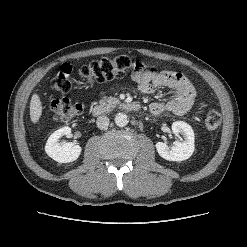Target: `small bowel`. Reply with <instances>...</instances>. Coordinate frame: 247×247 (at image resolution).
Returning <instances> with one entry per match:
<instances>
[{
	"mask_svg": "<svg viewBox=\"0 0 247 247\" xmlns=\"http://www.w3.org/2000/svg\"><path fill=\"white\" fill-rule=\"evenodd\" d=\"M131 77L137 83L138 89L144 94H150L154 88L160 87H167L172 90V95L168 101L150 104L149 108L153 114L168 111L176 115H183L192 110L195 105V89L182 73L160 71L153 75L134 69Z\"/></svg>",
	"mask_w": 247,
	"mask_h": 247,
	"instance_id": "obj_1",
	"label": "small bowel"
}]
</instances>
